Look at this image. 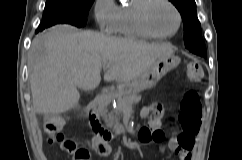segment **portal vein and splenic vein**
Listing matches in <instances>:
<instances>
[{
  "label": "portal vein and splenic vein",
  "mask_w": 242,
  "mask_h": 160,
  "mask_svg": "<svg viewBox=\"0 0 242 160\" xmlns=\"http://www.w3.org/2000/svg\"><path fill=\"white\" fill-rule=\"evenodd\" d=\"M103 69H104V70L109 69V65H104V66H103Z\"/></svg>",
  "instance_id": "1"
}]
</instances>
